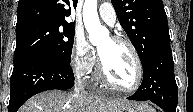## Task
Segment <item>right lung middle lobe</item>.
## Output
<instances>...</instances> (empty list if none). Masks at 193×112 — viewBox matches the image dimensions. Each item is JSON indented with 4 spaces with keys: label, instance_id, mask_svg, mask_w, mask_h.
Returning a JSON list of instances; mask_svg holds the SVG:
<instances>
[{
    "label": "right lung middle lobe",
    "instance_id": "right-lung-middle-lobe-1",
    "mask_svg": "<svg viewBox=\"0 0 193 112\" xmlns=\"http://www.w3.org/2000/svg\"><path fill=\"white\" fill-rule=\"evenodd\" d=\"M75 27L69 23H37L16 29L14 64L36 54H49L70 64Z\"/></svg>",
    "mask_w": 193,
    "mask_h": 112
}]
</instances>
